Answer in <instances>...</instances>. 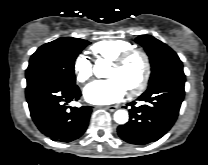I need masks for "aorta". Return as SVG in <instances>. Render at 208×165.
Returning a JSON list of instances; mask_svg holds the SVG:
<instances>
[{
    "instance_id": "aorta-1",
    "label": "aorta",
    "mask_w": 208,
    "mask_h": 165,
    "mask_svg": "<svg viewBox=\"0 0 208 165\" xmlns=\"http://www.w3.org/2000/svg\"><path fill=\"white\" fill-rule=\"evenodd\" d=\"M108 69V63L104 59H98L94 66V74L98 78H103L105 71ZM128 112L124 109L117 110L114 113V120L118 124H125L128 122Z\"/></svg>"
}]
</instances>
